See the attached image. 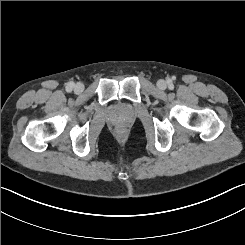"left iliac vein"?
<instances>
[{
  "label": "left iliac vein",
  "mask_w": 245,
  "mask_h": 245,
  "mask_svg": "<svg viewBox=\"0 0 245 245\" xmlns=\"http://www.w3.org/2000/svg\"><path fill=\"white\" fill-rule=\"evenodd\" d=\"M157 86L159 89H165L166 88V82L164 80H159L157 83Z\"/></svg>",
  "instance_id": "4c4485c4"
}]
</instances>
